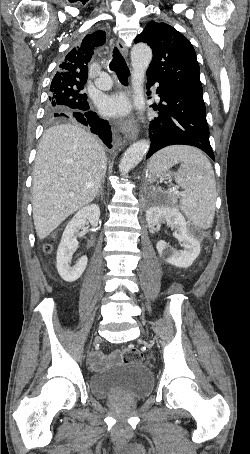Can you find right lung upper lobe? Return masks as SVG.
Segmentation results:
<instances>
[{
    "label": "right lung upper lobe",
    "mask_w": 250,
    "mask_h": 454,
    "mask_svg": "<svg viewBox=\"0 0 250 454\" xmlns=\"http://www.w3.org/2000/svg\"><path fill=\"white\" fill-rule=\"evenodd\" d=\"M105 32L96 31L86 35L82 42L74 47L59 65L51 85L76 86L84 85L87 81L88 63L94 55V49L105 42Z\"/></svg>",
    "instance_id": "cb5924a9"
}]
</instances>
